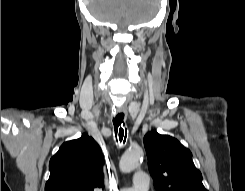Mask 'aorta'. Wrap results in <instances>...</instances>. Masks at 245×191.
I'll return each instance as SVG.
<instances>
[{"label":"aorta","instance_id":"762f6f07","mask_svg":"<svg viewBox=\"0 0 245 191\" xmlns=\"http://www.w3.org/2000/svg\"><path fill=\"white\" fill-rule=\"evenodd\" d=\"M143 154V150L139 146H134L127 150L120 159V170L124 173H129L136 169L143 158Z\"/></svg>","mask_w":245,"mask_h":191}]
</instances>
